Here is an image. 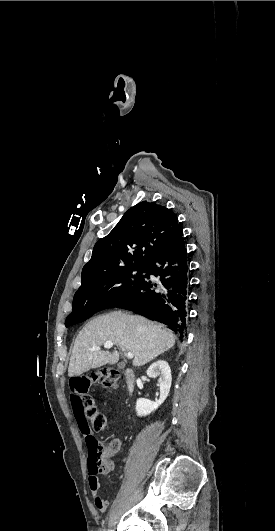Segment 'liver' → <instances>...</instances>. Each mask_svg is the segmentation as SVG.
I'll return each mask as SVG.
<instances>
[{
	"mask_svg": "<svg viewBox=\"0 0 275 531\" xmlns=\"http://www.w3.org/2000/svg\"><path fill=\"white\" fill-rule=\"evenodd\" d=\"M112 341L123 353H133L134 367H142L152 359L172 349L176 337L170 329H162L144 317L113 311L89 321L80 331L73 347L68 367V377H77L90 369L103 365H116L118 351H90Z\"/></svg>",
	"mask_w": 275,
	"mask_h": 531,
	"instance_id": "6515ba94",
	"label": "liver"
}]
</instances>
